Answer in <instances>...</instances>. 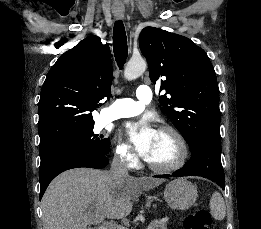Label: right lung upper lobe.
I'll use <instances>...</instances> for the list:
<instances>
[{
	"label": "right lung upper lobe",
	"instance_id": "cb5924a9",
	"mask_svg": "<svg viewBox=\"0 0 261 229\" xmlns=\"http://www.w3.org/2000/svg\"><path fill=\"white\" fill-rule=\"evenodd\" d=\"M112 63L108 45L89 36L62 54L41 90L39 150L56 147L93 129L92 111L109 96Z\"/></svg>",
	"mask_w": 261,
	"mask_h": 229
}]
</instances>
